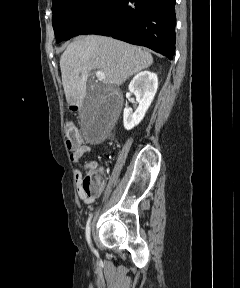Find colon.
Listing matches in <instances>:
<instances>
[{
  "instance_id": "obj_1",
  "label": "colon",
  "mask_w": 240,
  "mask_h": 288,
  "mask_svg": "<svg viewBox=\"0 0 240 288\" xmlns=\"http://www.w3.org/2000/svg\"><path fill=\"white\" fill-rule=\"evenodd\" d=\"M64 132L67 140V147L70 150L77 149L82 143L81 136L76 126L71 122H66ZM101 188V179L95 174H89L83 181L82 189L86 196L91 197L99 193Z\"/></svg>"
}]
</instances>
